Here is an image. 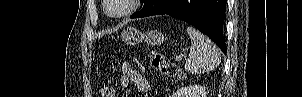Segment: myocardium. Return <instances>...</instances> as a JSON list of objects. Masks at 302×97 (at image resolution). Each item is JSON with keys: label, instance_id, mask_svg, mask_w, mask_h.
Wrapping results in <instances>:
<instances>
[{"label": "myocardium", "instance_id": "1", "mask_svg": "<svg viewBox=\"0 0 302 97\" xmlns=\"http://www.w3.org/2000/svg\"><path fill=\"white\" fill-rule=\"evenodd\" d=\"M127 2H128L127 9L121 13L115 14L110 11V0H104V11L109 17L113 19L124 18L130 16L131 14L137 11L141 0H127Z\"/></svg>", "mask_w": 302, "mask_h": 97}]
</instances>
